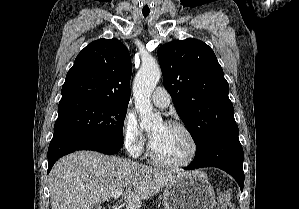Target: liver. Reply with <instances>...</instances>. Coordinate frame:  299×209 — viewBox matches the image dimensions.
<instances>
[{
    "label": "liver",
    "instance_id": "6515ba94",
    "mask_svg": "<svg viewBox=\"0 0 299 209\" xmlns=\"http://www.w3.org/2000/svg\"><path fill=\"white\" fill-rule=\"evenodd\" d=\"M189 173L78 151L58 160L50 172L51 209H91L123 188L126 209H139L143 200Z\"/></svg>",
    "mask_w": 299,
    "mask_h": 209
}]
</instances>
